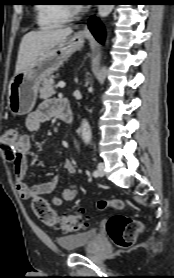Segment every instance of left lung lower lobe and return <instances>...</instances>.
Wrapping results in <instances>:
<instances>
[{
	"label": "left lung lower lobe",
	"mask_w": 174,
	"mask_h": 278,
	"mask_svg": "<svg viewBox=\"0 0 174 278\" xmlns=\"http://www.w3.org/2000/svg\"><path fill=\"white\" fill-rule=\"evenodd\" d=\"M89 30L92 32V34L94 35V37L99 41V42H103V39L105 37V32H104V28L103 25L101 24V22L99 21L98 18L96 17H92L91 20L89 21L88 24Z\"/></svg>",
	"instance_id": "obj_1"
}]
</instances>
